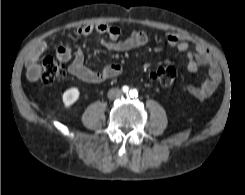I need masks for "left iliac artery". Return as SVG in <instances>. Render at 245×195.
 Returning a JSON list of instances; mask_svg holds the SVG:
<instances>
[{
  "mask_svg": "<svg viewBox=\"0 0 245 195\" xmlns=\"http://www.w3.org/2000/svg\"><path fill=\"white\" fill-rule=\"evenodd\" d=\"M137 94L138 93H137V91L135 89H133V90L130 91V95H132V96L137 95Z\"/></svg>",
  "mask_w": 245,
  "mask_h": 195,
  "instance_id": "left-iliac-artery-1",
  "label": "left iliac artery"
}]
</instances>
